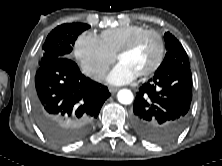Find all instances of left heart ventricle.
Returning <instances> with one entry per match:
<instances>
[{
	"mask_svg": "<svg viewBox=\"0 0 222 166\" xmlns=\"http://www.w3.org/2000/svg\"><path fill=\"white\" fill-rule=\"evenodd\" d=\"M158 47L157 39L149 36L135 50L122 56L120 62L125 63L139 75L154 64L158 55Z\"/></svg>",
	"mask_w": 222,
	"mask_h": 166,
	"instance_id": "left-heart-ventricle-1",
	"label": "left heart ventricle"
}]
</instances>
